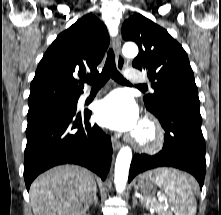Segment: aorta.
Masks as SVG:
<instances>
[{
    "label": "aorta",
    "mask_w": 221,
    "mask_h": 215,
    "mask_svg": "<svg viewBox=\"0 0 221 215\" xmlns=\"http://www.w3.org/2000/svg\"><path fill=\"white\" fill-rule=\"evenodd\" d=\"M122 52L125 57L134 58L138 54V47L135 43L128 42L123 45ZM131 160L132 150L127 146L121 148L116 158L114 173L117 192H122L126 187Z\"/></svg>",
    "instance_id": "obj_1"
}]
</instances>
